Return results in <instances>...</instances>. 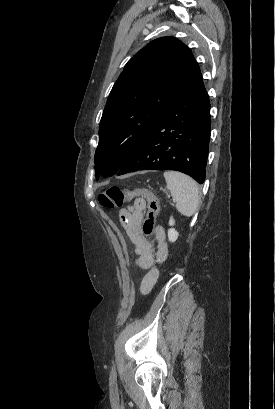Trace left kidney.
Listing matches in <instances>:
<instances>
[{
  "label": "left kidney",
  "instance_id": "obj_1",
  "mask_svg": "<svg viewBox=\"0 0 275 409\" xmlns=\"http://www.w3.org/2000/svg\"><path fill=\"white\" fill-rule=\"evenodd\" d=\"M169 225H170V227H173V225H175V221H174L173 217H171V219L169 221ZM168 239H169L170 243H175V241H177L178 233H177V231H175V229H169Z\"/></svg>",
  "mask_w": 275,
  "mask_h": 409
}]
</instances>
